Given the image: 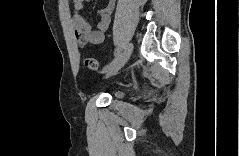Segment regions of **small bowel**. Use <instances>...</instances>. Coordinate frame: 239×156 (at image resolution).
Wrapping results in <instances>:
<instances>
[{
  "label": "small bowel",
  "mask_w": 239,
  "mask_h": 156,
  "mask_svg": "<svg viewBox=\"0 0 239 156\" xmlns=\"http://www.w3.org/2000/svg\"><path fill=\"white\" fill-rule=\"evenodd\" d=\"M86 5L85 0H74L72 3L73 15L71 24L73 28L74 38L78 45L86 44L98 45L105 39V34L110 24L111 13L114 9L115 2L109 0L99 9V22L97 29H92L91 25L82 16V11Z\"/></svg>",
  "instance_id": "small-bowel-1"
}]
</instances>
